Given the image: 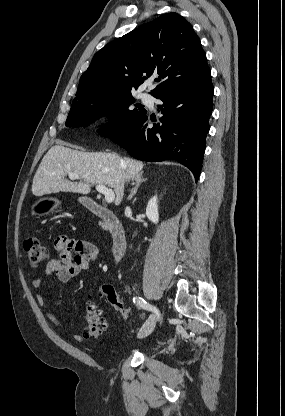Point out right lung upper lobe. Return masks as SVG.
<instances>
[{"instance_id":"obj_1","label":"right lung upper lobe","mask_w":285,"mask_h":416,"mask_svg":"<svg viewBox=\"0 0 285 416\" xmlns=\"http://www.w3.org/2000/svg\"><path fill=\"white\" fill-rule=\"evenodd\" d=\"M161 83L150 94L166 93L210 75L206 55L191 24L166 13L99 50L80 78L70 111L96 102L132 96L147 78Z\"/></svg>"}]
</instances>
